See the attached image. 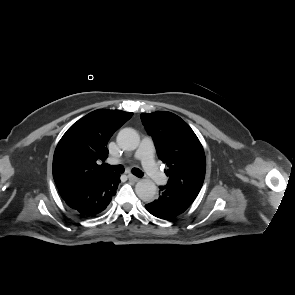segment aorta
Instances as JSON below:
<instances>
[{
  "label": "aorta",
  "mask_w": 295,
  "mask_h": 295,
  "mask_svg": "<svg viewBox=\"0 0 295 295\" xmlns=\"http://www.w3.org/2000/svg\"><path fill=\"white\" fill-rule=\"evenodd\" d=\"M116 141L120 148L131 151L139 146L140 137L133 128H124L119 131ZM156 191L157 187L150 179H142L135 186L137 196L145 202L154 201L156 199Z\"/></svg>",
  "instance_id": "aorta-1"
}]
</instances>
